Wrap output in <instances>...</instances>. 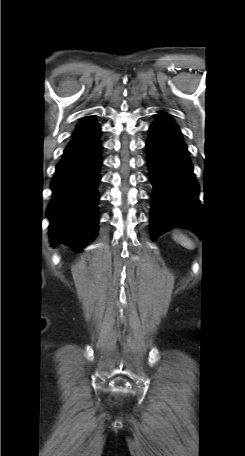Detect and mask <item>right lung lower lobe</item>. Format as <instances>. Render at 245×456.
Listing matches in <instances>:
<instances>
[{
  "label": "right lung lower lobe",
  "mask_w": 245,
  "mask_h": 456,
  "mask_svg": "<svg viewBox=\"0 0 245 456\" xmlns=\"http://www.w3.org/2000/svg\"><path fill=\"white\" fill-rule=\"evenodd\" d=\"M100 132L87 142L67 146L56 166L51 182L53 198L47 209L51 244L63 243L82 251L97 234Z\"/></svg>",
  "instance_id": "1"
}]
</instances>
